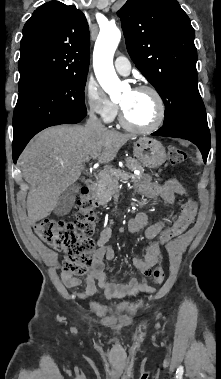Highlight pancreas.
<instances>
[{
    "label": "pancreas",
    "instance_id": "pancreas-1",
    "mask_svg": "<svg viewBox=\"0 0 221 379\" xmlns=\"http://www.w3.org/2000/svg\"><path fill=\"white\" fill-rule=\"evenodd\" d=\"M126 165L130 170H139L140 174L143 173L142 165L133 158L126 159ZM141 175H133L129 173L122 172L119 169L108 168L102 171L99 175V180L97 181V186L95 189V195L98 199L104 203L111 200L112 196L117 192L118 180L120 178L124 180L131 179L136 181Z\"/></svg>",
    "mask_w": 221,
    "mask_h": 379
}]
</instances>
